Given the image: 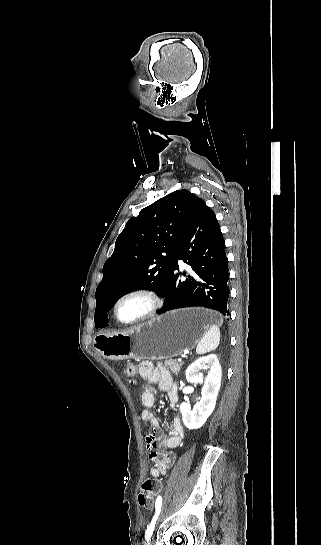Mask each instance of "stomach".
Here are the masks:
<instances>
[{
	"mask_svg": "<svg viewBox=\"0 0 321 545\" xmlns=\"http://www.w3.org/2000/svg\"><path fill=\"white\" fill-rule=\"evenodd\" d=\"M216 313L208 309H177L153 317L126 333H96L94 347L105 359H171L191 351L202 339Z\"/></svg>",
	"mask_w": 321,
	"mask_h": 545,
	"instance_id": "obj_1",
	"label": "stomach"
}]
</instances>
